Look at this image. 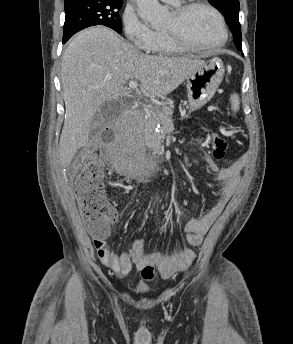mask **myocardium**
I'll return each instance as SVG.
<instances>
[{
  "label": "myocardium",
  "instance_id": "myocardium-1",
  "mask_svg": "<svg viewBox=\"0 0 293 344\" xmlns=\"http://www.w3.org/2000/svg\"><path fill=\"white\" fill-rule=\"evenodd\" d=\"M205 8L210 11L218 21L220 30H221V38L211 44L206 46H198L190 43L187 41L180 32L178 31H163L164 34L170 39L172 43H174L179 48L183 49L184 51L189 52H211L219 49L222 47L228 40L229 32L228 27L225 21L223 14L212 4L204 1V0H190L187 3L181 4L173 8L172 13L176 19L180 20L189 10L193 8Z\"/></svg>",
  "mask_w": 293,
  "mask_h": 344
}]
</instances>
